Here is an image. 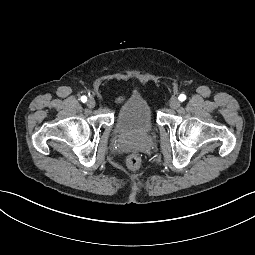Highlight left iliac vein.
<instances>
[{
    "mask_svg": "<svg viewBox=\"0 0 255 255\" xmlns=\"http://www.w3.org/2000/svg\"><path fill=\"white\" fill-rule=\"evenodd\" d=\"M169 105L172 109H177L180 106V101L178 98L173 97L171 98Z\"/></svg>",
    "mask_w": 255,
    "mask_h": 255,
    "instance_id": "left-iliac-vein-1",
    "label": "left iliac vein"
}]
</instances>
